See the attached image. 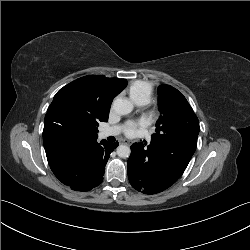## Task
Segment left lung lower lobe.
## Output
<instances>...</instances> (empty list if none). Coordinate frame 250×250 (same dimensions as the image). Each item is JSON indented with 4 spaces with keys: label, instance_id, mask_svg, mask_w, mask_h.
<instances>
[{
    "label": "left lung lower lobe",
    "instance_id": "left-lung-lower-lobe-1",
    "mask_svg": "<svg viewBox=\"0 0 250 250\" xmlns=\"http://www.w3.org/2000/svg\"><path fill=\"white\" fill-rule=\"evenodd\" d=\"M134 143L128 159V178L132 187L145 194H156L173 185L183 174L196 146L197 137Z\"/></svg>",
    "mask_w": 250,
    "mask_h": 250
}]
</instances>
